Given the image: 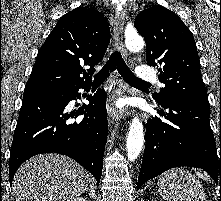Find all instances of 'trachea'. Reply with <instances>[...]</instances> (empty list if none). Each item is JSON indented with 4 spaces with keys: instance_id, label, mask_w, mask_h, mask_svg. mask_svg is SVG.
Instances as JSON below:
<instances>
[{
    "instance_id": "3493384b",
    "label": "trachea",
    "mask_w": 221,
    "mask_h": 201,
    "mask_svg": "<svg viewBox=\"0 0 221 201\" xmlns=\"http://www.w3.org/2000/svg\"><path fill=\"white\" fill-rule=\"evenodd\" d=\"M115 69L118 70L119 74L128 82L132 84H141V85H150V83L142 81L138 79L129 67L126 65L125 61L123 60L121 53L119 51H114L107 63L104 67L94 76V83H102L109 74L114 71Z\"/></svg>"
}]
</instances>
